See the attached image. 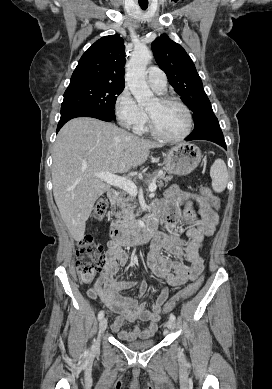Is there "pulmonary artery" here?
<instances>
[{"instance_id":"e3ab8cb5","label":"pulmonary artery","mask_w":272,"mask_h":389,"mask_svg":"<svg viewBox=\"0 0 272 389\" xmlns=\"http://www.w3.org/2000/svg\"><path fill=\"white\" fill-rule=\"evenodd\" d=\"M147 81L155 92L163 93L166 91L167 77L158 67L151 66L148 68Z\"/></svg>"}]
</instances>
